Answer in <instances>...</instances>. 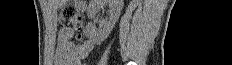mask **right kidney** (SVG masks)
Instances as JSON below:
<instances>
[{
    "label": "right kidney",
    "instance_id": "right-kidney-1",
    "mask_svg": "<svg viewBox=\"0 0 232 65\" xmlns=\"http://www.w3.org/2000/svg\"><path fill=\"white\" fill-rule=\"evenodd\" d=\"M106 4L109 5V19L101 29H96L95 25L89 23L86 26V36L95 44L100 45L111 33L116 21L120 16L123 7V0H94L88 7L87 15L94 18L98 11Z\"/></svg>",
    "mask_w": 232,
    "mask_h": 65
}]
</instances>
